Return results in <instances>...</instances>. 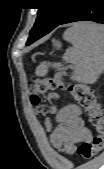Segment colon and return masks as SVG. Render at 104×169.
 <instances>
[{"label":"colon","instance_id":"colon-1","mask_svg":"<svg viewBox=\"0 0 104 169\" xmlns=\"http://www.w3.org/2000/svg\"><path fill=\"white\" fill-rule=\"evenodd\" d=\"M65 83L60 77H45L33 79L31 102L40 103V96L48 92L65 89ZM75 101L85 109L91 125L96 129L97 135L90 142L83 143L78 149V155L84 160L91 159L99 153L104 145V114L94 92L84 84H70L67 86ZM51 98H57L52 94Z\"/></svg>","mask_w":104,"mask_h":169}]
</instances>
